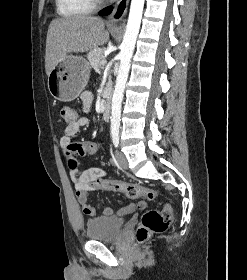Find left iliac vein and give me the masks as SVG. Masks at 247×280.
Instances as JSON below:
<instances>
[{"label":"left iliac vein","instance_id":"obj_1","mask_svg":"<svg viewBox=\"0 0 247 280\" xmlns=\"http://www.w3.org/2000/svg\"><path fill=\"white\" fill-rule=\"evenodd\" d=\"M115 155H116V159H117L118 165L122 169H127L128 168V161H127V158L124 155V153H122L119 150H117Z\"/></svg>","mask_w":247,"mask_h":280}]
</instances>
